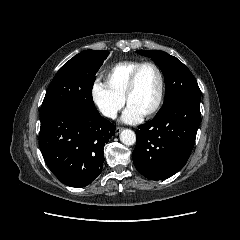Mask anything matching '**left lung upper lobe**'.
<instances>
[{"instance_id":"obj_1","label":"left lung upper lobe","mask_w":240,"mask_h":240,"mask_svg":"<svg viewBox=\"0 0 240 240\" xmlns=\"http://www.w3.org/2000/svg\"><path fill=\"white\" fill-rule=\"evenodd\" d=\"M137 52L150 57L163 72L165 100L162 107L183 97L201 98V91L195 77L179 59L158 50H138Z\"/></svg>"}]
</instances>
